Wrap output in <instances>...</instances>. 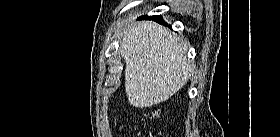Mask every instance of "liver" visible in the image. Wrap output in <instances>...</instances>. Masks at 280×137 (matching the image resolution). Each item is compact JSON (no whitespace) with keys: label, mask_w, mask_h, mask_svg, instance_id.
Returning <instances> with one entry per match:
<instances>
[{"label":"liver","mask_w":280,"mask_h":137,"mask_svg":"<svg viewBox=\"0 0 280 137\" xmlns=\"http://www.w3.org/2000/svg\"><path fill=\"white\" fill-rule=\"evenodd\" d=\"M119 53L125 61L128 102L139 108L169 99L191 76L186 49L176 34L152 21L132 24Z\"/></svg>","instance_id":"6515ba94"}]
</instances>
